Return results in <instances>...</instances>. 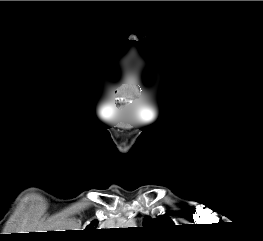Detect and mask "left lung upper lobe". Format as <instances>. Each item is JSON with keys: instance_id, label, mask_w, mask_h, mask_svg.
<instances>
[{"instance_id": "5c2ea615", "label": "left lung upper lobe", "mask_w": 263, "mask_h": 241, "mask_svg": "<svg viewBox=\"0 0 263 241\" xmlns=\"http://www.w3.org/2000/svg\"><path fill=\"white\" fill-rule=\"evenodd\" d=\"M144 227L149 229H162L173 227V221L166 216H158L156 219H152L149 216H146L143 221Z\"/></svg>"}]
</instances>
